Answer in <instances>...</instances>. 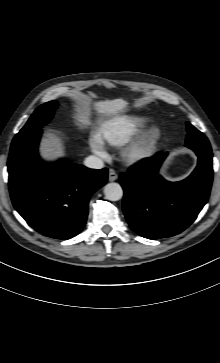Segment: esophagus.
I'll return each instance as SVG.
<instances>
[{"label":"esophagus","mask_w":220,"mask_h":363,"mask_svg":"<svg viewBox=\"0 0 220 363\" xmlns=\"http://www.w3.org/2000/svg\"><path fill=\"white\" fill-rule=\"evenodd\" d=\"M118 178L117 173L113 169H109L108 179L110 182L115 181Z\"/></svg>","instance_id":"obj_1"}]
</instances>
